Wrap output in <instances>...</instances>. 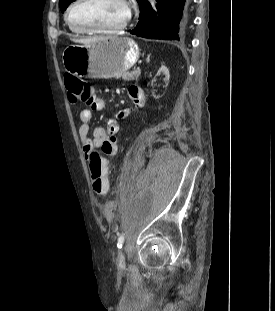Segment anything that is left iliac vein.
I'll return each instance as SVG.
<instances>
[{"label": "left iliac vein", "mask_w": 275, "mask_h": 311, "mask_svg": "<svg viewBox=\"0 0 275 311\" xmlns=\"http://www.w3.org/2000/svg\"><path fill=\"white\" fill-rule=\"evenodd\" d=\"M117 265L123 267L125 265V257L122 250H119L117 255Z\"/></svg>", "instance_id": "1"}]
</instances>
